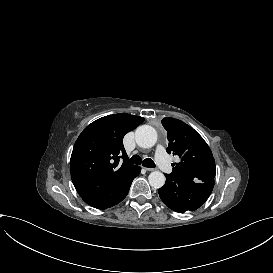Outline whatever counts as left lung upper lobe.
<instances>
[{"instance_id":"1","label":"left lung upper lobe","mask_w":273,"mask_h":273,"mask_svg":"<svg viewBox=\"0 0 273 273\" xmlns=\"http://www.w3.org/2000/svg\"><path fill=\"white\" fill-rule=\"evenodd\" d=\"M162 125L168 133L167 152L180 158L172 173L196 182L214 181L215 160L204 139L178 119L165 117Z\"/></svg>"}]
</instances>
